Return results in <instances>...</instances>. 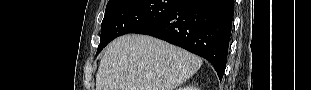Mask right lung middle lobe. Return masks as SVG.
<instances>
[{"instance_id":"1","label":"right lung middle lobe","mask_w":311,"mask_h":90,"mask_svg":"<svg viewBox=\"0 0 311 90\" xmlns=\"http://www.w3.org/2000/svg\"><path fill=\"white\" fill-rule=\"evenodd\" d=\"M182 0H110L102 21L96 55L113 39L155 23Z\"/></svg>"}]
</instances>
